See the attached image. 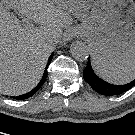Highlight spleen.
I'll return each mask as SVG.
<instances>
[{"mask_svg":"<svg viewBox=\"0 0 135 135\" xmlns=\"http://www.w3.org/2000/svg\"><path fill=\"white\" fill-rule=\"evenodd\" d=\"M92 63L97 73L110 83L125 84L135 79V58L114 67L101 63L95 57H92Z\"/></svg>","mask_w":135,"mask_h":135,"instance_id":"1","label":"spleen"}]
</instances>
